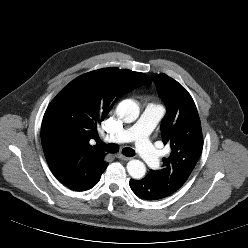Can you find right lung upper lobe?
Segmentation results:
<instances>
[{"mask_svg": "<svg viewBox=\"0 0 248 248\" xmlns=\"http://www.w3.org/2000/svg\"><path fill=\"white\" fill-rule=\"evenodd\" d=\"M151 79L128 69L103 68L69 83L47 108L41 126L45 158L54 176L74 190L104 170L103 151L91 146L97 125L123 95Z\"/></svg>", "mask_w": 248, "mask_h": 248, "instance_id": "obj_1", "label": "right lung upper lobe"}]
</instances>
